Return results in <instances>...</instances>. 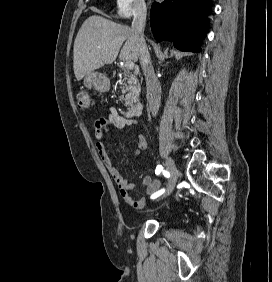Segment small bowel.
<instances>
[{"label":"small bowel","instance_id":"1","mask_svg":"<svg viewBox=\"0 0 272 282\" xmlns=\"http://www.w3.org/2000/svg\"><path fill=\"white\" fill-rule=\"evenodd\" d=\"M135 126L136 122L134 120L123 117L116 110L111 108L106 117L100 118L96 121L95 138L97 140L96 148L105 167L117 184L121 197L131 207L135 209H142L146 205V199L144 197H140L137 200L132 198L130 193L134 189V185L120 173L112 161L105 155L104 146L101 143V140L104 136V130L106 128L113 127L116 130L132 131ZM137 138L138 142L135 155H137L140 150H145L148 146L147 138L143 133H138ZM122 160L126 162L125 158H122ZM142 184L146 187V192L148 194L156 193L161 187V181L153 179L150 175H147L143 178Z\"/></svg>","mask_w":272,"mask_h":282}]
</instances>
